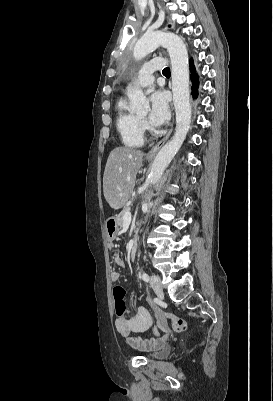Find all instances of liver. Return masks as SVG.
I'll use <instances>...</instances> for the list:
<instances>
[{"instance_id":"liver-1","label":"liver","mask_w":273,"mask_h":401,"mask_svg":"<svg viewBox=\"0 0 273 401\" xmlns=\"http://www.w3.org/2000/svg\"><path fill=\"white\" fill-rule=\"evenodd\" d=\"M142 160L143 152L136 148L117 146L111 150L103 176V192L111 209H122L126 205Z\"/></svg>"}]
</instances>
